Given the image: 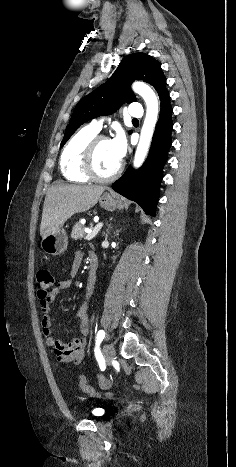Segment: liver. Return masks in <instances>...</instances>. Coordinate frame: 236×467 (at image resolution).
I'll return each instance as SVG.
<instances>
[{
    "label": "liver",
    "mask_w": 236,
    "mask_h": 467,
    "mask_svg": "<svg viewBox=\"0 0 236 467\" xmlns=\"http://www.w3.org/2000/svg\"><path fill=\"white\" fill-rule=\"evenodd\" d=\"M106 188L104 186L52 185L46 194L40 235L45 238L71 216L92 208Z\"/></svg>",
    "instance_id": "obj_1"
}]
</instances>
